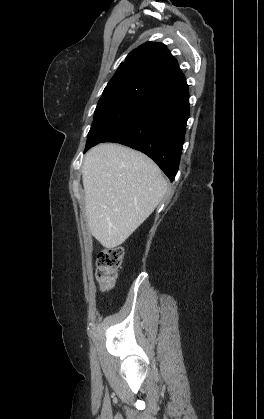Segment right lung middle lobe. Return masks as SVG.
Wrapping results in <instances>:
<instances>
[{
  "label": "right lung middle lobe",
  "mask_w": 264,
  "mask_h": 419,
  "mask_svg": "<svg viewBox=\"0 0 264 419\" xmlns=\"http://www.w3.org/2000/svg\"><path fill=\"white\" fill-rule=\"evenodd\" d=\"M151 98L150 93L127 85L106 87L96 107L84 152L124 125Z\"/></svg>",
  "instance_id": "right-lung-middle-lobe-1"
}]
</instances>
